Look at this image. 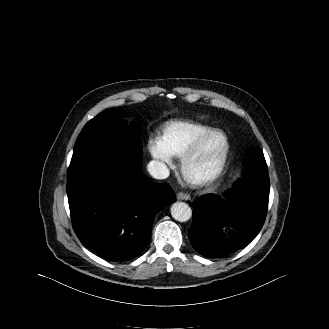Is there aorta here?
Here are the masks:
<instances>
[{
    "mask_svg": "<svg viewBox=\"0 0 329 329\" xmlns=\"http://www.w3.org/2000/svg\"><path fill=\"white\" fill-rule=\"evenodd\" d=\"M171 215L179 222H186L191 218L192 210L185 202H175L171 206Z\"/></svg>",
    "mask_w": 329,
    "mask_h": 329,
    "instance_id": "obj_1",
    "label": "aorta"
}]
</instances>
